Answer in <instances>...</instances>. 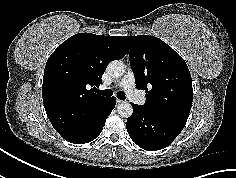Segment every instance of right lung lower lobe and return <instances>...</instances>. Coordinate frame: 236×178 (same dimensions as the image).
I'll list each match as a JSON object with an SVG mask.
<instances>
[{
    "instance_id": "1",
    "label": "right lung lower lobe",
    "mask_w": 236,
    "mask_h": 178,
    "mask_svg": "<svg viewBox=\"0 0 236 178\" xmlns=\"http://www.w3.org/2000/svg\"><path fill=\"white\" fill-rule=\"evenodd\" d=\"M116 104L114 97L109 98L101 112L89 123L81 128L60 134L65 140L74 144H84L93 141L101 133L107 117Z\"/></svg>"
}]
</instances>
